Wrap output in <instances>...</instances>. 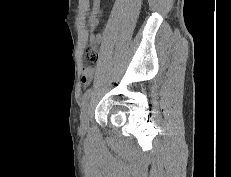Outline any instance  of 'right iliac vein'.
Listing matches in <instances>:
<instances>
[{
    "label": "right iliac vein",
    "instance_id": "63e3f726",
    "mask_svg": "<svg viewBox=\"0 0 231 177\" xmlns=\"http://www.w3.org/2000/svg\"><path fill=\"white\" fill-rule=\"evenodd\" d=\"M89 111H90V105L89 103L86 102L82 108L81 115H80V121H81L80 127L83 132L86 131L87 129Z\"/></svg>",
    "mask_w": 231,
    "mask_h": 177
}]
</instances>
